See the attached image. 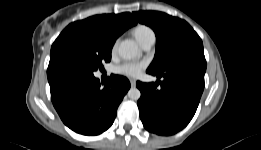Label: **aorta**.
<instances>
[{
	"instance_id": "aorta-1",
	"label": "aorta",
	"mask_w": 261,
	"mask_h": 150,
	"mask_svg": "<svg viewBox=\"0 0 261 150\" xmlns=\"http://www.w3.org/2000/svg\"><path fill=\"white\" fill-rule=\"evenodd\" d=\"M118 53L123 59H132L140 54V50L134 41L124 40L118 47ZM127 95L131 100L137 101L141 96V92L138 88L131 87Z\"/></svg>"
}]
</instances>
